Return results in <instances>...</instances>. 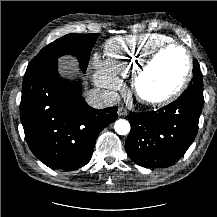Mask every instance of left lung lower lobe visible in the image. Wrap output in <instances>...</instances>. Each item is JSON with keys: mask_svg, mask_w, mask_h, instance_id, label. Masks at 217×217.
Returning a JSON list of instances; mask_svg holds the SVG:
<instances>
[{"mask_svg": "<svg viewBox=\"0 0 217 217\" xmlns=\"http://www.w3.org/2000/svg\"><path fill=\"white\" fill-rule=\"evenodd\" d=\"M203 103V91L188 87L176 101L157 111L130 113L128 156L142 167L175 164L196 137Z\"/></svg>", "mask_w": 217, "mask_h": 217, "instance_id": "left-lung-lower-lobe-1", "label": "left lung lower lobe"}]
</instances>
